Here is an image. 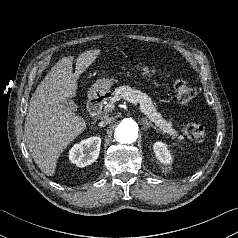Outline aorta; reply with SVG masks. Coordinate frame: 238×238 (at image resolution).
<instances>
[{"mask_svg":"<svg viewBox=\"0 0 238 238\" xmlns=\"http://www.w3.org/2000/svg\"><path fill=\"white\" fill-rule=\"evenodd\" d=\"M138 124L131 118L123 119L115 129V138L120 143L131 144L138 137Z\"/></svg>","mask_w":238,"mask_h":238,"instance_id":"762f6f07","label":"aorta"}]
</instances>
